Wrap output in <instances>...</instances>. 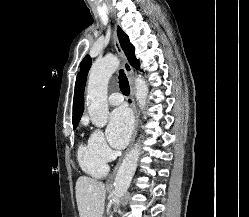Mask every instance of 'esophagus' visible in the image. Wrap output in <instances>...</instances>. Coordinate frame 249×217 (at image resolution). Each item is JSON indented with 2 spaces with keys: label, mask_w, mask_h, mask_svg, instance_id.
<instances>
[{
  "label": "esophagus",
  "mask_w": 249,
  "mask_h": 217,
  "mask_svg": "<svg viewBox=\"0 0 249 217\" xmlns=\"http://www.w3.org/2000/svg\"><path fill=\"white\" fill-rule=\"evenodd\" d=\"M114 43H115V48L119 54V56L121 57L122 59V62H123V69L128 77V80H129V86H130V95L127 99L129 105L132 107L133 109V113H134V118H135V123H134V132H133V136H132V139H131V143L129 145V148L127 149V151L125 152V154L130 150L134 140H135V137H136V133H137V126H138V117H137V110H136V104H135V100H134V84H133V68L132 66L130 65V63L128 62L125 54H124V51L122 50L121 48V45L117 39V37L115 36V40H114ZM121 163V160L118 162V164L115 166L113 172L111 173V175L109 176L108 180H107V185H112L113 184V181H114V178H115V175H116V172L118 170V167Z\"/></svg>",
  "instance_id": "1"
}]
</instances>
